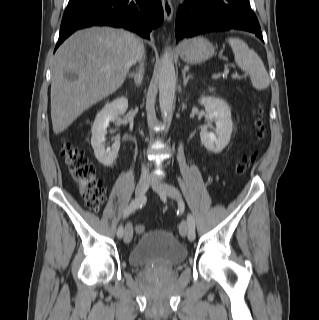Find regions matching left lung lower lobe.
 <instances>
[{
    "label": "left lung lower lobe",
    "instance_id": "left-lung-lower-lobe-1",
    "mask_svg": "<svg viewBox=\"0 0 319 320\" xmlns=\"http://www.w3.org/2000/svg\"><path fill=\"white\" fill-rule=\"evenodd\" d=\"M229 29L252 32L263 41L258 20L250 8L249 0H191L178 10L177 40Z\"/></svg>",
    "mask_w": 319,
    "mask_h": 320
}]
</instances>
